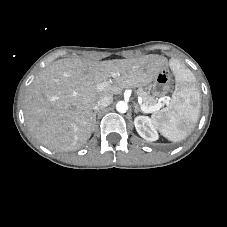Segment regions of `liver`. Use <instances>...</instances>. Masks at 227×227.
<instances>
[{"label": "liver", "mask_w": 227, "mask_h": 227, "mask_svg": "<svg viewBox=\"0 0 227 227\" xmlns=\"http://www.w3.org/2000/svg\"><path fill=\"white\" fill-rule=\"evenodd\" d=\"M167 66L168 60L159 55L108 61L57 60L26 89L23 110L27 128L51 150H77L91 137L93 106L103 95L146 86ZM104 82L107 86L98 91L97 85Z\"/></svg>", "instance_id": "1"}]
</instances>
